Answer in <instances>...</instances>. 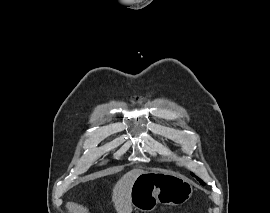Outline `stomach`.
I'll return each mask as SVG.
<instances>
[{
	"label": "stomach",
	"mask_w": 270,
	"mask_h": 213,
	"mask_svg": "<svg viewBox=\"0 0 270 213\" xmlns=\"http://www.w3.org/2000/svg\"><path fill=\"white\" fill-rule=\"evenodd\" d=\"M193 189L184 176L162 169L139 175L131 189V202L136 210L149 213L158 204L177 206L187 202Z\"/></svg>",
	"instance_id": "0dacf381"
}]
</instances>
